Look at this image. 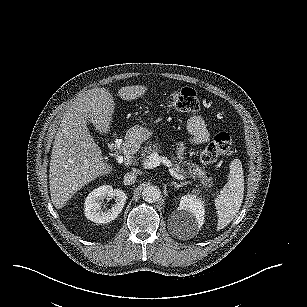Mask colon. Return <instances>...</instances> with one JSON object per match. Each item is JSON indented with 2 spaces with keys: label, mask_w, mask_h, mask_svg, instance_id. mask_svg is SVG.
<instances>
[{
  "label": "colon",
  "mask_w": 307,
  "mask_h": 307,
  "mask_svg": "<svg viewBox=\"0 0 307 307\" xmlns=\"http://www.w3.org/2000/svg\"><path fill=\"white\" fill-rule=\"evenodd\" d=\"M170 107L181 112L194 113L200 109V101L196 92L191 88L174 90L167 98ZM235 144L234 138L226 133H218L214 139L200 152V160L204 164H211L218 158L228 155ZM116 144L114 149H116Z\"/></svg>",
  "instance_id": "colon-1"
}]
</instances>
